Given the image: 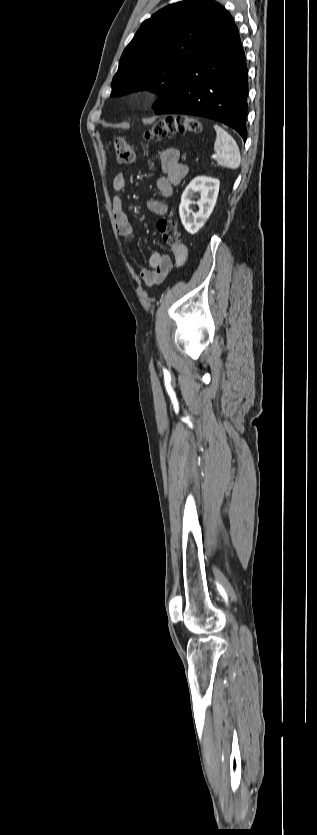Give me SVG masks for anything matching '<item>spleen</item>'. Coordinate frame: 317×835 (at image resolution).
Segmentation results:
<instances>
[{
	"instance_id": "spleen-1",
	"label": "spleen",
	"mask_w": 317,
	"mask_h": 835,
	"mask_svg": "<svg viewBox=\"0 0 317 835\" xmlns=\"http://www.w3.org/2000/svg\"><path fill=\"white\" fill-rule=\"evenodd\" d=\"M214 129L216 131L214 151L217 155V164L229 169L238 168L241 163V156L236 141L219 125L215 124Z\"/></svg>"
}]
</instances>
